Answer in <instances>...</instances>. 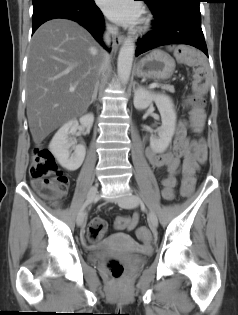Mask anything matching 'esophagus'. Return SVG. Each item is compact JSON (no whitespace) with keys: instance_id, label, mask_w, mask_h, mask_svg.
Wrapping results in <instances>:
<instances>
[{"instance_id":"34e87169","label":"esophagus","mask_w":238,"mask_h":315,"mask_svg":"<svg viewBox=\"0 0 238 315\" xmlns=\"http://www.w3.org/2000/svg\"><path fill=\"white\" fill-rule=\"evenodd\" d=\"M124 41V36L123 35H115L113 38V47L115 50L118 49V47L122 44Z\"/></svg>"}]
</instances>
